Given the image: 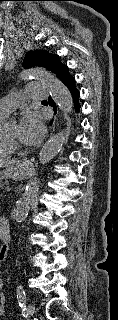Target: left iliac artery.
<instances>
[{
	"label": "left iliac artery",
	"instance_id": "obj_1",
	"mask_svg": "<svg viewBox=\"0 0 118 320\" xmlns=\"http://www.w3.org/2000/svg\"><path fill=\"white\" fill-rule=\"evenodd\" d=\"M17 299L19 306L23 309L26 307V292L22 285L17 286Z\"/></svg>",
	"mask_w": 118,
	"mask_h": 320
}]
</instances>
